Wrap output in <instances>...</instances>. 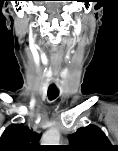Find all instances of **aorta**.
<instances>
[{
    "label": "aorta",
    "mask_w": 118,
    "mask_h": 151,
    "mask_svg": "<svg viewBox=\"0 0 118 151\" xmlns=\"http://www.w3.org/2000/svg\"><path fill=\"white\" fill-rule=\"evenodd\" d=\"M59 141L60 132L55 128L46 131L41 138L42 145H59Z\"/></svg>",
    "instance_id": "1"
}]
</instances>
